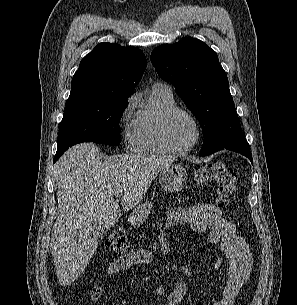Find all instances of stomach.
I'll use <instances>...</instances> for the list:
<instances>
[{"label":"stomach","instance_id":"stomach-1","mask_svg":"<svg viewBox=\"0 0 297 305\" xmlns=\"http://www.w3.org/2000/svg\"><path fill=\"white\" fill-rule=\"evenodd\" d=\"M187 176V171L184 167L178 164H170L160 172L159 183L166 192H179L186 184ZM151 208V202L139 205L131 213L129 221L134 224L144 222L148 218Z\"/></svg>","mask_w":297,"mask_h":305}]
</instances>
